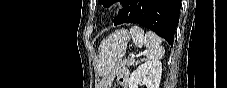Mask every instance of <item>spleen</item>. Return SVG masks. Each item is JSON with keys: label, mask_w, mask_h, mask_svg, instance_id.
<instances>
[{"label": "spleen", "mask_w": 227, "mask_h": 88, "mask_svg": "<svg viewBox=\"0 0 227 88\" xmlns=\"http://www.w3.org/2000/svg\"><path fill=\"white\" fill-rule=\"evenodd\" d=\"M130 34L134 44L141 48L145 46L146 57L150 60H158L164 56L165 50L161 46V38L152 31L144 32L138 26H133L130 29Z\"/></svg>", "instance_id": "obj_1"}]
</instances>
